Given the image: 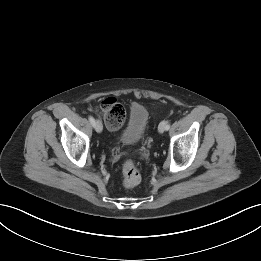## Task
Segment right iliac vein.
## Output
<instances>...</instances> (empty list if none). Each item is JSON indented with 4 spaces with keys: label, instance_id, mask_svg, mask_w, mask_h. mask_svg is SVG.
<instances>
[{
    "label": "right iliac vein",
    "instance_id": "1",
    "mask_svg": "<svg viewBox=\"0 0 261 261\" xmlns=\"http://www.w3.org/2000/svg\"><path fill=\"white\" fill-rule=\"evenodd\" d=\"M94 127H95V130H96L98 133L102 132V130H103V125H102L101 121H99V120H96V121H95Z\"/></svg>",
    "mask_w": 261,
    "mask_h": 261
}]
</instances>
